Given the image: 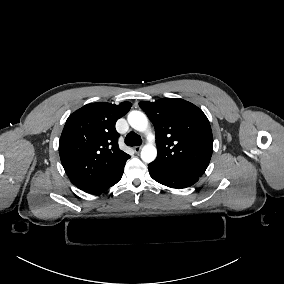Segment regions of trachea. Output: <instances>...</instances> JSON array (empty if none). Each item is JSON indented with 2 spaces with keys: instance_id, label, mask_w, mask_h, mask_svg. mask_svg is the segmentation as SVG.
<instances>
[{
  "instance_id": "3493384b",
  "label": "trachea",
  "mask_w": 284,
  "mask_h": 284,
  "mask_svg": "<svg viewBox=\"0 0 284 284\" xmlns=\"http://www.w3.org/2000/svg\"><path fill=\"white\" fill-rule=\"evenodd\" d=\"M125 143L128 146H138L141 145L142 140L138 134H136L135 132H130L125 138Z\"/></svg>"
}]
</instances>
